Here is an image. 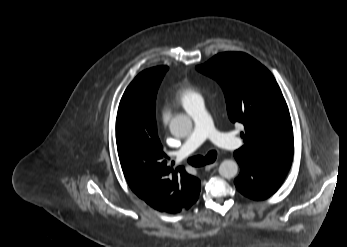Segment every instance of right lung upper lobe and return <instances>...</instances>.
<instances>
[{"instance_id":"1","label":"right lung upper lobe","mask_w":347,"mask_h":247,"mask_svg":"<svg viewBox=\"0 0 347 247\" xmlns=\"http://www.w3.org/2000/svg\"><path fill=\"white\" fill-rule=\"evenodd\" d=\"M116 142L132 191L161 212L178 213L199 196V179L167 166L158 137L149 81L138 75L125 90L117 113Z\"/></svg>"}]
</instances>
